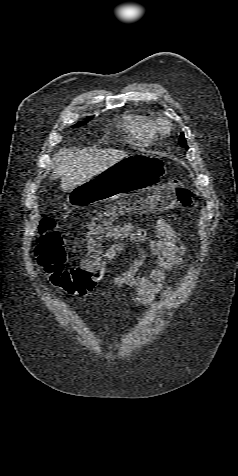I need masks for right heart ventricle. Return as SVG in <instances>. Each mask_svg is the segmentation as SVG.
<instances>
[{"label":"right heart ventricle","instance_id":"e07e8e85","mask_svg":"<svg viewBox=\"0 0 238 476\" xmlns=\"http://www.w3.org/2000/svg\"><path fill=\"white\" fill-rule=\"evenodd\" d=\"M123 125L130 138L140 146H150L155 140L153 122L145 115L130 113L125 115Z\"/></svg>","mask_w":238,"mask_h":476}]
</instances>
